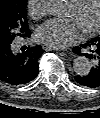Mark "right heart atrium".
<instances>
[{
  "label": "right heart atrium",
  "instance_id": "right-heart-atrium-1",
  "mask_svg": "<svg viewBox=\"0 0 100 118\" xmlns=\"http://www.w3.org/2000/svg\"><path fill=\"white\" fill-rule=\"evenodd\" d=\"M47 0H28V11L31 17L34 19H40L43 17L46 10Z\"/></svg>",
  "mask_w": 100,
  "mask_h": 118
}]
</instances>
